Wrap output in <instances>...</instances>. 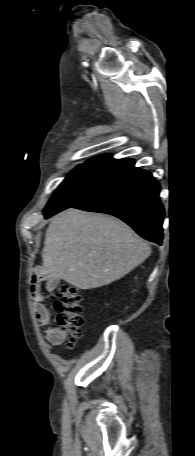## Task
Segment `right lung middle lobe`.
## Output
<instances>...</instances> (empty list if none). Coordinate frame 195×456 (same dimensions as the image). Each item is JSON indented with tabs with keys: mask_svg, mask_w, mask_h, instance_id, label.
I'll return each instance as SVG.
<instances>
[{
	"mask_svg": "<svg viewBox=\"0 0 195 456\" xmlns=\"http://www.w3.org/2000/svg\"><path fill=\"white\" fill-rule=\"evenodd\" d=\"M122 172V169L87 163L77 166L58 187L44 212L54 215L75 206L104 188Z\"/></svg>",
	"mask_w": 195,
	"mask_h": 456,
	"instance_id": "dd1d6c3e",
	"label": "right lung middle lobe"
}]
</instances>
